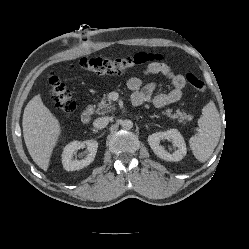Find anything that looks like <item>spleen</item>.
Returning <instances> with one entry per match:
<instances>
[{
    "mask_svg": "<svg viewBox=\"0 0 249 249\" xmlns=\"http://www.w3.org/2000/svg\"><path fill=\"white\" fill-rule=\"evenodd\" d=\"M198 125V132L190 138L189 144L196 159L205 162L212 155L221 135V121L213 101L203 107Z\"/></svg>",
    "mask_w": 249,
    "mask_h": 249,
    "instance_id": "obj_1",
    "label": "spleen"
}]
</instances>
